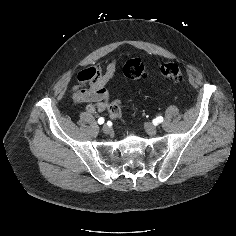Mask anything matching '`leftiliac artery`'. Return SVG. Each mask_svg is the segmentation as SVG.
<instances>
[{
  "label": "left iliac artery",
  "instance_id": "44dca946",
  "mask_svg": "<svg viewBox=\"0 0 236 236\" xmlns=\"http://www.w3.org/2000/svg\"><path fill=\"white\" fill-rule=\"evenodd\" d=\"M156 121H157L158 123L163 122V117H162V116L157 117V118H156Z\"/></svg>",
  "mask_w": 236,
  "mask_h": 236
}]
</instances>
